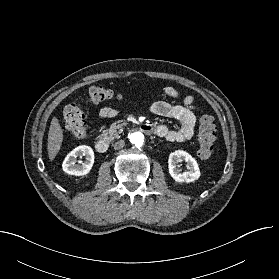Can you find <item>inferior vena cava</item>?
I'll use <instances>...</instances> for the list:
<instances>
[{"instance_id":"1","label":"inferior vena cava","mask_w":279,"mask_h":279,"mask_svg":"<svg viewBox=\"0 0 279 279\" xmlns=\"http://www.w3.org/2000/svg\"><path fill=\"white\" fill-rule=\"evenodd\" d=\"M124 145H125L124 140H119L113 145V147L114 149H121L124 147Z\"/></svg>"}]
</instances>
